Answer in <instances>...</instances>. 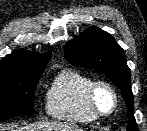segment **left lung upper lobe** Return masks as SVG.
Here are the masks:
<instances>
[{"label":"left lung upper lobe","mask_w":147,"mask_h":131,"mask_svg":"<svg viewBox=\"0 0 147 131\" xmlns=\"http://www.w3.org/2000/svg\"><path fill=\"white\" fill-rule=\"evenodd\" d=\"M64 56L73 65L94 68L105 74L122 91L131 121L127 130L138 131L133 114L131 70L127 66L123 49L114 38L109 33L92 26L86 29L83 35L75 37L66 44Z\"/></svg>","instance_id":"obj_1"}]
</instances>
